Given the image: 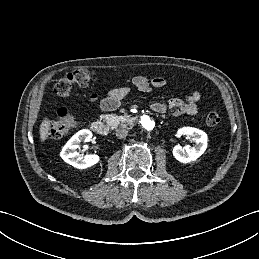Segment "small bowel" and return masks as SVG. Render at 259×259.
Listing matches in <instances>:
<instances>
[{"label": "small bowel", "mask_w": 259, "mask_h": 259, "mask_svg": "<svg viewBox=\"0 0 259 259\" xmlns=\"http://www.w3.org/2000/svg\"><path fill=\"white\" fill-rule=\"evenodd\" d=\"M133 85L141 92L150 93L166 85V79L162 76L148 78L144 75H135L132 77ZM128 87H118L112 89L105 97L98 98L92 94L88 101L98 103L104 111H110L118 108L129 93ZM201 99L199 92L191 93L185 100L177 97L169 99L167 102L155 101L151 104V109L157 113H165L169 109H175L176 115H195L198 112V102Z\"/></svg>", "instance_id": "obj_1"}]
</instances>
